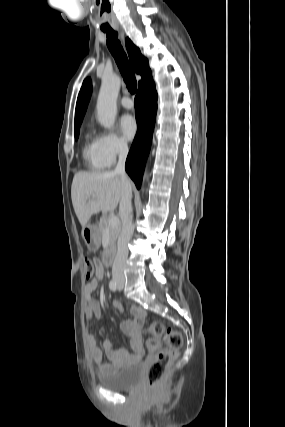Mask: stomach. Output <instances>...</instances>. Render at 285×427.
Wrapping results in <instances>:
<instances>
[{"label":"stomach","instance_id":"stomach-1","mask_svg":"<svg viewBox=\"0 0 285 427\" xmlns=\"http://www.w3.org/2000/svg\"><path fill=\"white\" fill-rule=\"evenodd\" d=\"M82 237L87 245V247L91 250H97L100 246L101 237L98 232V228L94 225L85 226L82 229Z\"/></svg>","mask_w":285,"mask_h":427}]
</instances>
